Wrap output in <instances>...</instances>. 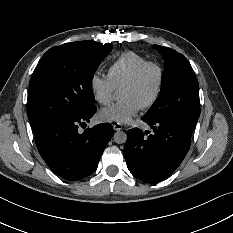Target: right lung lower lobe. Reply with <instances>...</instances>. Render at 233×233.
Segmentation results:
<instances>
[{"label": "right lung lower lobe", "mask_w": 233, "mask_h": 233, "mask_svg": "<svg viewBox=\"0 0 233 233\" xmlns=\"http://www.w3.org/2000/svg\"><path fill=\"white\" fill-rule=\"evenodd\" d=\"M96 112L94 104L81 114L33 126L38 151L49 168L60 177L76 181L91 175L113 136L110 123H101L83 132Z\"/></svg>", "instance_id": "98d812e1"}]
</instances>
